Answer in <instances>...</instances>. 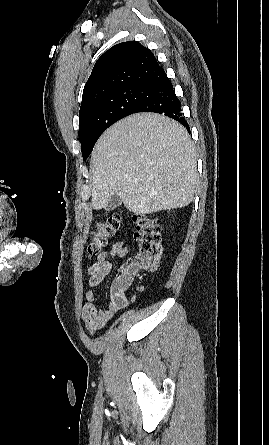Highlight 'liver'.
Returning a JSON list of instances; mask_svg holds the SVG:
<instances>
[{"mask_svg": "<svg viewBox=\"0 0 269 445\" xmlns=\"http://www.w3.org/2000/svg\"><path fill=\"white\" fill-rule=\"evenodd\" d=\"M92 207L117 194L139 215L187 206L198 187L196 153L185 128L155 113L130 115L97 141L91 158Z\"/></svg>", "mask_w": 269, "mask_h": 445, "instance_id": "6515ba94", "label": "liver"}]
</instances>
